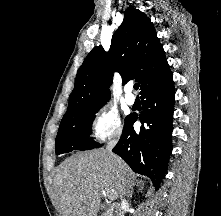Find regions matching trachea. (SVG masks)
<instances>
[{
	"label": "trachea",
	"instance_id": "trachea-1",
	"mask_svg": "<svg viewBox=\"0 0 221 216\" xmlns=\"http://www.w3.org/2000/svg\"><path fill=\"white\" fill-rule=\"evenodd\" d=\"M138 88H139V83H135V84H134V89H135V90H138Z\"/></svg>",
	"mask_w": 221,
	"mask_h": 216
}]
</instances>
